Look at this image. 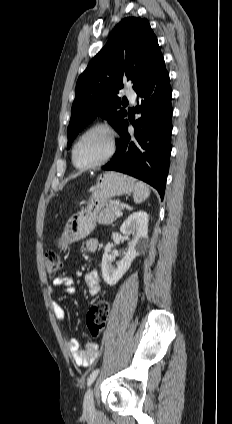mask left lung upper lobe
Segmentation results:
<instances>
[{
    "label": "left lung upper lobe",
    "mask_w": 232,
    "mask_h": 424,
    "mask_svg": "<svg viewBox=\"0 0 232 424\" xmlns=\"http://www.w3.org/2000/svg\"><path fill=\"white\" fill-rule=\"evenodd\" d=\"M162 59L148 20L136 17L123 19L77 80L67 128L68 148L77 134L98 114L119 132L127 116L117 96L123 81H132L135 90Z\"/></svg>",
    "instance_id": "5c2ea615"
}]
</instances>
